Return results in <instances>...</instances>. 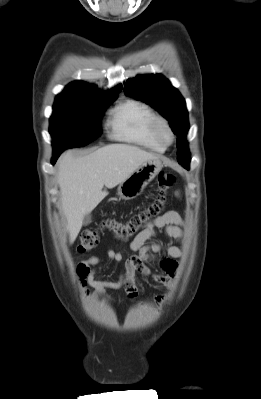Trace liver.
<instances>
[{
	"label": "liver",
	"instance_id": "1",
	"mask_svg": "<svg viewBox=\"0 0 261 399\" xmlns=\"http://www.w3.org/2000/svg\"><path fill=\"white\" fill-rule=\"evenodd\" d=\"M151 159L158 157L127 144H110L78 158L71 152L61 157L58 183L71 244L82 228L84 216L107 196L103 186H117Z\"/></svg>",
	"mask_w": 261,
	"mask_h": 399
}]
</instances>
